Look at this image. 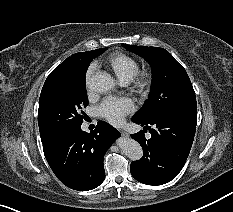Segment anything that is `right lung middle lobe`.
<instances>
[{"label":"right lung middle lobe","mask_w":233,"mask_h":212,"mask_svg":"<svg viewBox=\"0 0 233 212\" xmlns=\"http://www.w3.org/2000/svg\"><path fill=\"white\" fill-rule=\"evenodd\" d=\"M107 48L93 50L88 62L78 63L47 77L41 91L38 125L43 145L81 126L88 105L85 74L92 59Z\"/></svg>","instance_id":"1"}]
</instances>
